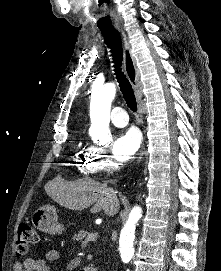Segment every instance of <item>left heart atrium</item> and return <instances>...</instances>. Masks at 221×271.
Wrapping results in <instances>:
<instances>
[{
	"label": "left heart atrium",
	"mask_w": 221,
	"mask_h": 271,
	"mask_svg": "<svg viewBox=\"0 0 221 271\" xmlns=\"http://www.w3.org/2000/svg\"><path fill=\"white\" fill-rule=\"evenodd\" d=\"M176 92H173L175 94ZM141 140V133L137 129H130L119 135L118 142H112L113 157H132Z\"/></svg>",
	"instance_id": "obj_1"
}]
</instances>
